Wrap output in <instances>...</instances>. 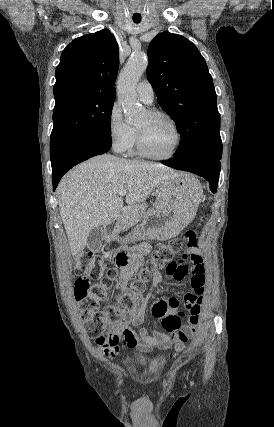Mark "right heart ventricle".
<instances>
[{"label":"right heart ventricle","mask_w":274,"mask_h":427,"mask_svg":"<svg viewBox=\"0 0 274 427\" xmlns=\"http://www.w3.org/2000/svg\"><path fill=\"white\" fill-rule=\"evenodd\" d=\"M129 150H130V151H129V153H130L131 155H133V154H135V153H136L135 148L133 147V145H132V147H131Z\"/></svg>","instance_id":"1"}]
</instances>
